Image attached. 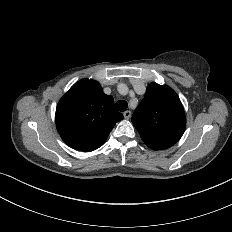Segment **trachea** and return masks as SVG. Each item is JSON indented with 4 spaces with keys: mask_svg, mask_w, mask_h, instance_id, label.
I'll list each match as a JSON object with an SVG mask.
<instances>
[{
    "mask_svg": "<svg viewBox=\"0 0 232 232\" xmlns=\"http://www.w3.org/2000/svg\"><path fill=\"white\" fill-rule=\"evenodd\" d=\"M128 107V103L125 100H119L116 103V108L120 111V112H124Z\"/></svg>",
    "mask_w": 232,
    "mask_h": 232,
    "instance_id": "3493384b",
    "label": "trachea"
}]
</instances>
